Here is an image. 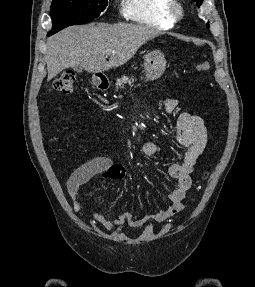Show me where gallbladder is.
<instances>
[{
    "mask_svg": "<svg viewBox=\"0 0 255 287\" xmlns=\"http://www.w3.org/2000/svg\"><path fill=\"white\" fill-rule=\"evenodd\" d=\"M72 70H74V72H82L83 68H81V66H73Z\"/></svg>",
    "mask_w": 255,
    "mask_h": 287,
    "instance_id": "obj_1",
    "label": "gallbladder"
}]
</instances>
